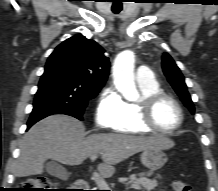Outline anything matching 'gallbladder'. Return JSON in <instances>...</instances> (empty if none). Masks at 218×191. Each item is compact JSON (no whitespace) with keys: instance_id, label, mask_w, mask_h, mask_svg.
Masks as SVG:
<instances>
[{"instance_id":"1","label":"gallbladder","mask_w":218,"mask_h":191,"mask_svg":"<svg viewBox=\"0 0 218 191\" xmlns=\"http://www.w3.org/2000/svg\"><path fill=\"white\" fill-rule=\"evenodd\" d=\"M46 172L60 179L67 177L66 170L57 162L51 161L45 165Z\"/></svg>"}]
</instances>
